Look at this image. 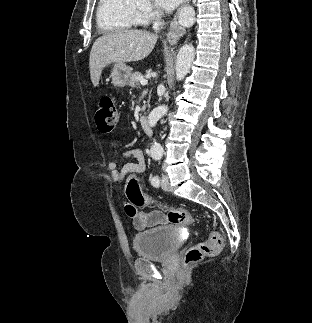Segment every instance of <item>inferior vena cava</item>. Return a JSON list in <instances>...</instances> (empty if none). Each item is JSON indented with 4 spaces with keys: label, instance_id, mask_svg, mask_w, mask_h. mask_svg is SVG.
<instances>
[{
    "label": "inferior vena cava",
    "instance_id": "inferior-vena-cava-1",
    "mask_svg": "<svg viewBox=\"0 0 312 323\" xmlns=\"http://www.w3.org/2000/svg\"><path fill=\"white\" fill-rule=\"evenodd\" d=\"M161 24H162V22H154V24H153L154 30H159Z\"/></svg>",
    "mask_w": 312,
    "mask_h": 323
}]
</instances>
